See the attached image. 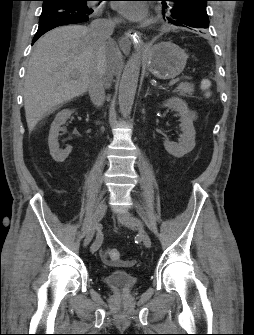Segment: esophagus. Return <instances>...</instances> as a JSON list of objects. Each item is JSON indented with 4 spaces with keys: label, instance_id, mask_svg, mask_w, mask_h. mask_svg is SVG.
Listing matches in <instances>:
<instances>
[{
    "label": "esophagus",
    "instance_id": "esophagus-1",
    "mask_svg": "<svg viewBox=\"0 0 254 335\" xmlns=\"http://www.w3.org/2000/svg\"><path fill=\"white\" fill-rule=\"evenodd\" d=\"M141 43V34L138 31L129 29L125 31L124 35L119 40V45L122 50H128L131 43Z\"/></svg>",
    "mask_w": 254,
    "mask_h": 335
}]
</instances>
